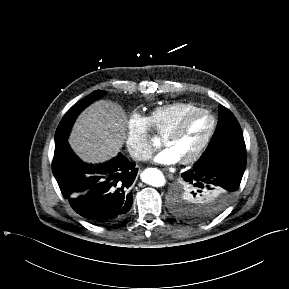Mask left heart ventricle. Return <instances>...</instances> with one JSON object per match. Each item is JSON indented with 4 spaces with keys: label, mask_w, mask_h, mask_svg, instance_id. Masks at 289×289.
I'll return each instance as SVG.
<instances>
[{
    "label": "left heart ventricle",
    "mask_w": 289,
    "mask_h": 289,
    "mask_svg": "<svg viewBox=\"0 0 289 289\" xmlns=\"http://www.w3.org/2000/svg\"><path fill=\"white\" fill-rule=\"evenodd\" d=\"M211 126V119L205 114L194 116L187 123L184 131L176 138L169 140L170 148L180 159L187 157L202 142Z\"/></svg>",
    "instance_id": "obj_1"
}]
</instances>
